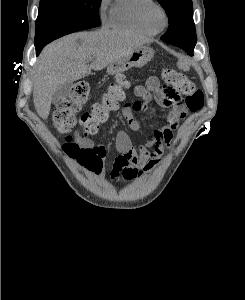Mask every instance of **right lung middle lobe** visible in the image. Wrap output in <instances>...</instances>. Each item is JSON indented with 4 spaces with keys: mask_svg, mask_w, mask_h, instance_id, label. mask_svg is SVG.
Returning a JSON list of instances; mask_svg holds the SVG:
<instances>
[{
    "mask_svg": "<svg viewBox=\"0 0 245 300\" xmlns=\"http://www.w3.org/2000/svg\"><path fill=\"white\" fill-rule=\"evenodd\" d=\"M101 0H40L35 47L100 24Z\"/></svg>",
    "mask_w": 245,
    "mask_h": 300,
    "instance_id": "right-lung-middle-lobe-1",
    "label": "right lung middle lobe"
}]
</instances>
